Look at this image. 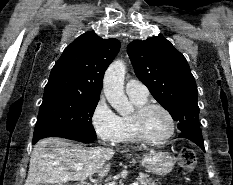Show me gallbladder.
Segmentation results:
<instances>
[{
  "label": "gallbladder",
  "instance_id": "bac80fb5",
  "mask_svg": "<svg viewBox=\"0 0 233 185\" xmlns=\"http://www.w3.org/2000/svg\"><path fill=\"white\" fill-rule=\"evenodd\" d=\"M38 185H52V184H48V183H39Z\"/></svg>",
  "mask_w": 233,
  "mask_h": 185
}]
</instances>
